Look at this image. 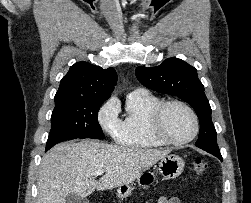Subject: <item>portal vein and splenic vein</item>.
I'll return each instance as SVG.
<instances>
[{
	"mask_svg": "<svg viewBox=\"0 0 251 203\" xmlns=\"http://www.w3.org/2000/svg\"><path fill=\"white\" fill-rule=\"evenodd\" d=\"M103 173H104L103 170H97V171H95L92 175L95 176V177H97V176L103 175Z\"/></svg>",
	"mask_w": 251,
	"mask_h": 203,
	"instance_id": "portal-vein-and-splenic-vein-1",
	"label": "portal vein and splenic vein"
}]
</instances>
